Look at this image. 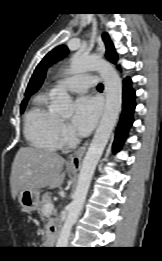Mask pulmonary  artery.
Returning a JSON list of instances; mask_svg holds the SVG:
<instances>
[{"label":"pulmonary artery","mask_w":162,"mask_h":261,"mask_svg":"<svg viewBox=\"0 0 162 261\" xmlns=\"http://www.w3.org/2000/svg\"><path fill=\"white\" fill-rule=\"evenodd\" d=\"M97 77L90 74H77L56 82V86L65 88L73 93H83L88 88L95 86Z\"/></svg>","instance_id":"e3ab8cb5"}]
</instances>
